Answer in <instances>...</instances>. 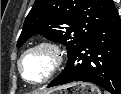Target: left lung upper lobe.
<instances>
[{"label":"left lung upper lobe","instance_id":"1","mask_svg":"<svg viewBox=\"0 0 121 94\" xmlns=\"http://www.w3.org/2000/svg\"><path fill=\"white\" fill-rule=\"evenodd\" d=\"M112 0H36L17 42L20 47L34 34L62 43L68 57L99 28L116 17Z\"/></svg>","mask_w":121,"mask_h":94}]
</instances>
